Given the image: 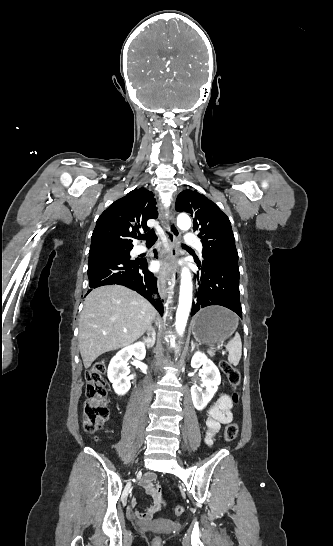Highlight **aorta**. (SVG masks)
Masks as SVG:
<instances>
[{
	"label": "aorta",
	"mask_w": 333,
	"mask_h": 546,
	"mask_svg": "<svg viewBox=\"0 0 333 546\" xmlns=\"http://www.w3.org/2000/svg\"><path fill=\"white\" fill-rule=\"evenodd\" d=\"M177 225L182 230L191 227V219L188 215L181 213L177 217ZM192 277L188 268H184L181 274L179 305L176 312L175 327L179 335H183L191 304H192Z\"/></svg>",
	"instance_id": "1"
}]
</instances>
